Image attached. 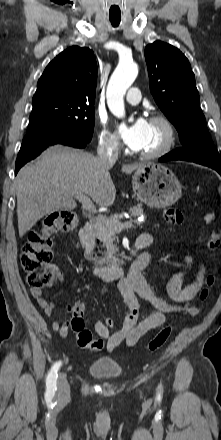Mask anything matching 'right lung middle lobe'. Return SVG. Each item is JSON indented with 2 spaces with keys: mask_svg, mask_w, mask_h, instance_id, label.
<instances>
[{
  "mask_svg": "<svg viewBox=\"0 0 221 440\" xmlns=\"http://www.w3.org/2000/svg\"><path fill=\"white\" fill-rule=\"evenodd\" d=\"M94 104L39 102L33 104L27 134L57 132L91 140Z\"/></svg>",
  "mask_w": 221,
  "mask_h": 440,
  "instance_id": "obj_1",
  "label": "right lung middle lobe"
}]
</instances>
